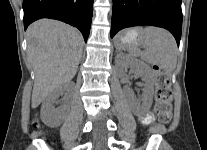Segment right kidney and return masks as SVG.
<instances>
[{"mask_svg":"<svg viewBox=\"0 0 207 150\" xmlns=\"http://www.w3.org/2000/svg\"><path fill=\"white\" fill-rule=\"evenodd\" d=\"M70 88L67 84L61 85L56 88L49 96L44 100L41 106V118L42 121L49 127L60 126L69 110V102L62 104L60 107L55 108L58 98L67 94Z\"/></svg>","mask_w":207,"mask_h":150,"instance_id":"ca27d5eb","label":"right kidney"}]
</instances>
